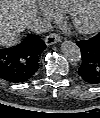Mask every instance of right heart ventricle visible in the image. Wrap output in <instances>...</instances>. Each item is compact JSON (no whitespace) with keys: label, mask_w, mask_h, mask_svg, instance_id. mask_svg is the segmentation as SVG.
Listing matches in <instances>:
<instances>
[{"label":"right heart ventricle","mask_w":100,"mask_h":118,"mask_svg":"<svg viewBox=\"0 0 100 118\" xmlns=\"http://www.w3.org/2000/svg\"><path fill=\"white\" fill-rule=\"evenodd\" d=\"M60 13H71L84 0H50Z\"/></svg>","instance_id":"e07e8e85"}]
</instances>
